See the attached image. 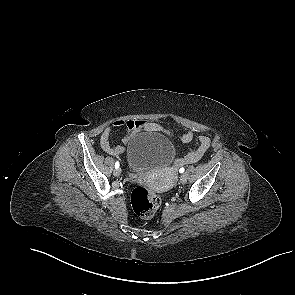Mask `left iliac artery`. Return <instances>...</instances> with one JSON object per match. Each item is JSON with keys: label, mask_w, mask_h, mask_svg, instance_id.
<instances>
[{"label": "left iliac artery", "mask_w": 295, "mask_h": 295, "mask_svg": "<svg viewBox=\"0 0 295 295\" xmlns=\"http://www.w3.org/2000/svg\"><path fill=\"white\" fill-rule=\"evenodd\" d=\"M184 171H185L184 167L180 168V170H179L180 173H183Z\"/></svg>", "instance_id": "44dca946"}]
</instances>
